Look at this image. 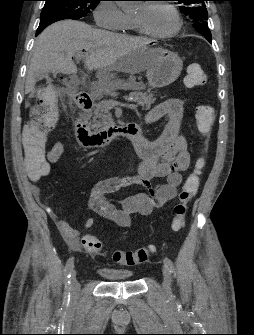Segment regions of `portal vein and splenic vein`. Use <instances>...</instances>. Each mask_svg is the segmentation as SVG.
Listing matches in <instances>:
<instances>
[{"label": "portal vein and splenic vein", "mask_w": 254, "mask_h": 335, "mask_svg": "<svg viewBox=\"0 0 254 335\" xmlns=\"http://www.w3.org/2000/svg\"><path fill=\"white\" fill-rule=\"evenodd\" d=\"M76 59L80 60L84 57V54L83 53H77L75 55ZM106 105L109 107V108H112V107H115V106H122V107H127V108H131V109H136L138 107L137 104H126V103H121L119 101H116V100H108V101H105Z\"/></svg>", "instance_id": "18ae733b"}]
</instances>
